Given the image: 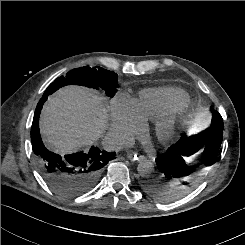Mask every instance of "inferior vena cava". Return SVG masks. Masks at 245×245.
Returning a JSON list of instances; mask_svg holds the SVG:
<instances>
[{"mask_svg": "<svg viewBox=\"0 0 245 245\" xmlns=\"http://www.w3.org/2000/svg\"><path fill=\"white\" fill-rule=\"evenodd\" d=\"M134 142L131 139L123 137H115L111 134H107L103 140V145L106 150L119 151L124 148L133 146Z\"/></svg>", "mask_w": 245, "mask_h": 245, "instance_id": "inferior-vena-cava-1", "label": "inferior vena cava"}]
</instances>
